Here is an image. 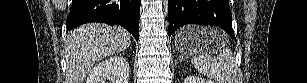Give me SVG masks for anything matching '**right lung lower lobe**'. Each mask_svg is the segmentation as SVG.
<instances>
[{"label": "right lung lower lobe", "mask_w": 307, "mask_h": 83, "mask_svg": "<svg viewBox=\"0 0 307 83\" xmlns=\"http://www.w3.org/2000/svg\"><path fill=\"white\" fill-rule=\"evenodd\" d=\"M141 0H73L67 30L89 22L119 24L139 38Z\"/></svg>", "instance_id": "1"}]
</instances>
